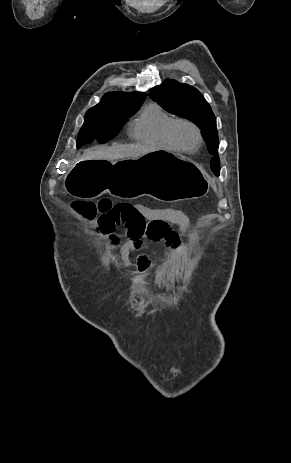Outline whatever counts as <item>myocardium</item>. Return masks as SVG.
I'll return each instance as SVG.
<instances>
[{
    "mask_svg": "<svg viewBox=\"0 0 291 463\" xmlns=\"http://www.w3.org/2000/svg\"><path fill=\"white\" fill-rule=\"evenodd\" d=\"M180 125H187V126L191 127L193 129V131L195 132L196 143H195V145L193 147H185L177 139L176 129ZM168 138H169L170 142L174 145V147L176 149H178L179 151H182V152H186V153L195 152L196 150H198L200 148V146L203 143V136H202V132H201L200 127L196 123H194L193 121H191L189 119H185V118L174 119V121L170 124V126L168 128Z\"/></svg>",
    "mask_w": 291,
    "mask_h": 463,
    "instance_id": "f54148a6",
    "label": "myocardium"
}]
</instances>
